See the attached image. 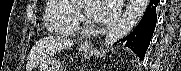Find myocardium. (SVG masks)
Listing matches in <instances>:
<instances>
[{"mask_svg":"<svg viewBox=\"0 0 181 71\" xmlns=\"http://www.w3.org/2000/svg\"><path fill=\"white\" fill-rule=\"evenodd\" d=\"M76 8L80 14L79 20L82 21L83 30L86 32H93L96 29V25L91 22L88 4L78 3Z\"/></svg>","mask_w":181,"mask_h":71,"instance_id":"f54148a6","label":"myocardium"}]
</instances>
